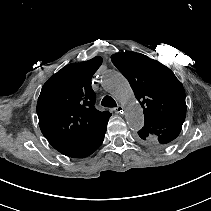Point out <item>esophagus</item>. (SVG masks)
Masks as SVG:
<instances>
[{
  "label": "esophagus",
  "instance_id": "obj_1",
  "mask_svg": "<svg viewBox=\"0 0 211 211\" xmlns=\"http://www.w3.org/2000/svg\"><path fill=\"white\" fill-rule=\"evenodd\" d=\"M113 111L115 113H121V112H123V107L122 106H118V107L114 108Z\"/></svg>",
  "mask_w": 211,
  "mask_h": 211
}]
</instances>
